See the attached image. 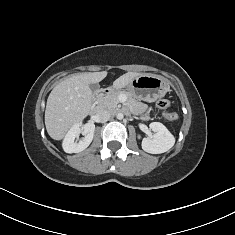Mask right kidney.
<instances>
[{
	"label": "right kidney",
	"mask_w": 235,
	"mask_h": 235,
	"mask_svg": "<svg viewBox=\"0 0 235 235\" xmlns=\"http://www.w3.org/2000/svg\"><path fill=\"white\" fill-rule=\"evenodd\" d=\"M95 125L87 123L80 127V124H75L66 134L63 141V149L66 153H79L85 150L93 140ZM84 137L79 141H75L80 134Z\"/></svg>",
	"instance_id": "1"
}]
</instances>
